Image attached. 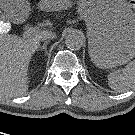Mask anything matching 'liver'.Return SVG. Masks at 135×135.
<instances>
[{
	"instance_id": "obj_1",
	"label": "liver",
	"mask_w": 135,
	"mask_h": 135,
	"mask_svg": "<svg viewBox=\"0 0 135 135\" xmlns=\"http://www.w3.org/2000/svg\"><path fill=\"white\" fill-rule=\"evenodd\" d=\"M0 29V96L20 97L28 92V67L41 32L19 37L4 33V24Z\"/></svg>"
}]
</instances>
